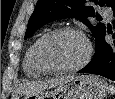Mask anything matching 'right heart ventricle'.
Listing matches in <instances>:
<instances>
[{
  "label": "right heart ventricle",
  "mask_w": 115,
  "mask_h": 99,
  "mask_svg": "<svg viewBox=\"0 0 115 99\" xmlns=\"http://www.w3.org/2000/svg\"><path fill=\"white\" fill-rule=\"evenodd\" d=\"M39 39V38H38ZM37 39V40H38ZM37 40H35L27 49L24 60H23V70L27 77L38 78L46 74L36 63L34 57V49Z\"/></svg>",
  "instance_id": "right-heart-ventricle-1"
}]
</instances>
